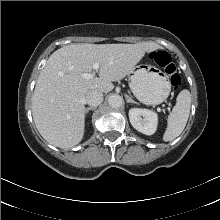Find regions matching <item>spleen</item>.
<instances>
[{"instance_id":"3e777b00","label":"spleen","mask_w":220,"mask_h":220,"mask_svg":"<svg viewBox=\"0 0 220 220\" xmlns=\"http://www.w3.org/2000/svg\"><path fill=\"white\" fill-rule=\"evenodd\" d=\"M176 105L167 118V128L163 135V141L168 142L177 138L184 130L191 107V94L187 89L182 90L176 99Z\"/></svg>"}]
</instances>
